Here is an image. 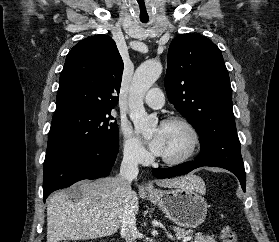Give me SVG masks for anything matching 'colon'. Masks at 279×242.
Wrapping results in <instances>:
<instances>
[{"mask_svg": "<svg viewBox=\"0 0 279 242\" xmlns=\"http://www.w3.org/2000/svg\"><path fill=\"white\" fill-rule=\"evenodd\" d=\"M220 236L223 239V242H238L237 233L229 225H225L221 228ZM62 242H66V241H62Z\"/></svg>", "mask_w": 279, "mask_h": 242, "instance_id": "obj_1", "label": "colon"}]
</instances>
